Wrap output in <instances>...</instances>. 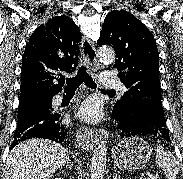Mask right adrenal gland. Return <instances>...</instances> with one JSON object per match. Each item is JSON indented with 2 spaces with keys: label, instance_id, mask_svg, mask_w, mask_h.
I'll return each mask as SVG.
<instances>
[{
  "label": "right adrenal gland",
  "instance_id": "obj_1",
  "mask_svg": "<svg viewBox=\"0 0 183 179\" xmlns=\"http://www.w3.org/2000/svg\"><path fill=\"white\" fill-rule=\"evenodd\" d=\"M69 166V168H71V162L68 161L67 164H66V167Z\"/></svg>",
  "mask_w": 183,
  "mask_h": 179
}]
</instances>
